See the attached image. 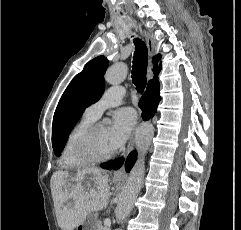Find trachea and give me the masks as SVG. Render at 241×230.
Segmentation results:
<instances>
[{
    "mask_svg": "<svg viewBox=\"0 0 241 230\" xmlns=\"http://www.w3.org/2000/svg\"><path fill=\"white\" fill-rule=\"evenodd\" d=\"M134 42L136 48L133 57L132 82L136 86V90L142 93L147 84L148 51L143 41L136 39Z\"/></svg>",
    "mask_w": 241,
    "mask_h": 230,
    "instance_id": "3493384b",
    "label": "trachea"
}]
</instances>
